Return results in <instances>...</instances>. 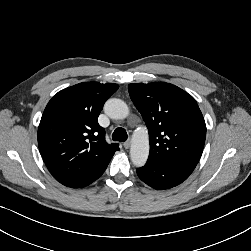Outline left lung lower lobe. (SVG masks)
I'll list each match as a JSON object with an SVG mask.
<instances>
[{
	"mask_svg": "<svg viewBox=\"0 0 251 251\" xmlns=\"http://www.w3.org/2000/svg\"><path fill=\"white\" fill-rule=\"evenodd\" d=\"M194 169L172 164L147 161L137 169L139 178L155 189H169L185 181Z\"/></svg>",
	"mask_w": 251,
	"mask_h": 251,
	"instance_id": "1",
	"label": "left lung lower lobe"
}]
</instances>
